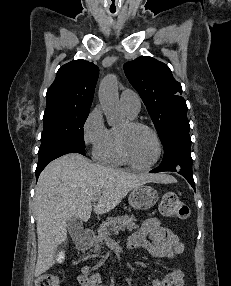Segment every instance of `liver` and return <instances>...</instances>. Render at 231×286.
Wrapping results in <instances>:
<instances>
[{
    "label": "liver",
    "mask_w": 231,
    "mask_h": 286,
    "mask_svg": "<svg viewBox=\"0 0 231 286\" xmlns=\"http://www.w3.org/2000/svg\"><path fill=\"white\" fill-rule=\"evenodd\" d=\"M148 182L174 183L165 174H130L123 170L91 163L77 153H70L49 163L35 188V219L38 257L35 276L39 277L55 263L57 248L67 240V220L75 216L87 221L96 214L114 209L132 189Z\"/></svg>",
    "instance_id": "1"
}]
</instances>
